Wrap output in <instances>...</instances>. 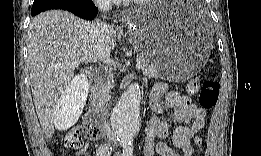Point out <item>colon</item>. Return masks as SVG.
<instances>
[{
  "instance_id": "obj_1",
  "label": "colon",
  "mask_w": 261,
  "mask_h": 156,
  "mask_svg": "<svg viewBox=\"0 0 261 156\" xmlns=\"http://www.w3.org/2000/svg\"><path fill=\"white\" fill-rule=\"evenodd\" d=\"M187 91L192 96L198 94L201 108L209 110L215 107L217 103L219 83L215 80H206L201 85L197 78H192L187 85ZM84 132L87 137L96 139L103 135V128L97 121L89 120L86 123ZM62 141L66 147L80 149L84 144L81 129L78 127L70 128L63 134ZM194 145L196 147L203 145L201 136L194 139Z\"/></svg>"
}]
</instances>
